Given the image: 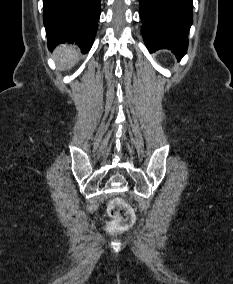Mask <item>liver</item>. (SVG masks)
<instances>
[{
  "label": "liver",
  "mask_w": 233,
  "mask_h": 284,
  "mask_svg": "<svg viewBox=\"0 0 233 284\" xmlns=\"http://www.w3.org/2000/svg\"><path fill=\"white\" fill-rule=\"evenodd\" d=\"M79 51L75 46L62 45L55 52V59L60 65L72 67L78 57Z\"/></svg>",
  "instance_id": "obj_1"
}]
</instances>
